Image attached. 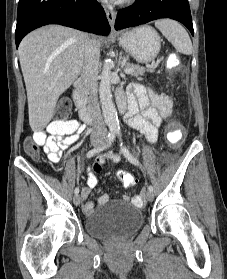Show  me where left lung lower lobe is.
Instances as JSON below:
<instances>
[{
	"label": "left lung lower lobe",
	"instance_id": "1",
	"mask_svg": "<svg viewBox=\"0 0 227 279\" xmlns=\"http://www.w3.org/2000/svg\"><path fill=\"white\" fill-rule=\"evenodd\" d=\"M160 18L177 20L194 34L188 0H136L132 6L118 13L115 29L138 26Z\"/></svg>",
	"mask_w": 227,
	"mask_h": 279
}]
</instances>
